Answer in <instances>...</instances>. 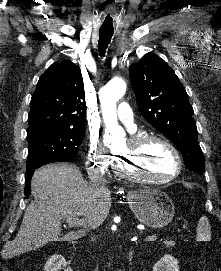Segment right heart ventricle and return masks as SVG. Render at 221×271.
<instances>
[{
	"mask_svg": "<svg viewBox=\"0 0 221 271\" xmlns=\"http://www.w3.org/2000/svg\"><path fill=\"white\" fill-rule=\"evenodd\" d=\"M138 136V135H137ZM137 136H134L133 137V139H132V141H131V144H133V142H134V140H135V138L137 137ZM131 150V149H130ZM146 183L149 181L147 178L144 180ZM153 183H155L157 180L155 179V178H153L152 180H151ZM162 183L165 181L166 183L169 181L167 178L164 180L163 178L160 180Z\"/></svg>",
	"mask_w": 221,
	"mask_h": 271,
	"instance_id": "1",
	"label": "right heart ventricle"
}]
</instances>
